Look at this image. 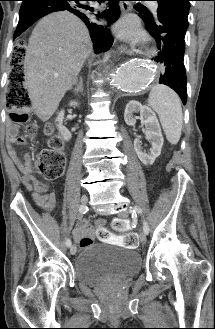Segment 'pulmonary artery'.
I'll return each instance as SVG.
<instances>
[{"label":"pulmonary artery","instance_id":"obj_1","mask_svg":"<svg viewBox=\"0 0 215 329\" xmlns=\"http://www.w3.org/2000/svg\"><path fill=\"white\" fill-rule=\"evenodd\" d=\"M150 7H151L152 11L156 13V11L158 9L157 3L156 2H151Z\"/></svg>","mask_w":215,"mask_h":329}]
</instances>
